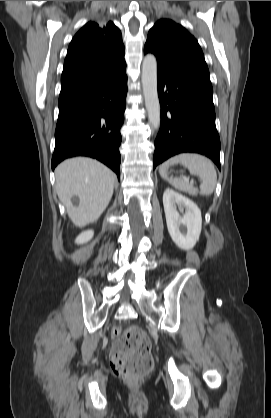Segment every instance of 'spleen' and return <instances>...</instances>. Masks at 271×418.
<instances>
[{"mask_svg":"<svg viewBox=\"0 0 271 418\" xmlns=\"http://www.w3.org/2000/svg\"><path fill=\"white\" fill-rule=\"evenodd\" d=\"M182 163L188 168L191 174L200 178V194L210 195L213 193L217 183V173L214 164L206 157L199 154L183 153L168 159L161 164L159 172L163 178L176 189L182 192L192 193L194 188L192 184L187 183L181 178H168L167 169L169 166Z\"/></svg>","mask_w":271,"mask_h":418,"instance_id":"3e777b00","label":"spleen"}]
</instances>
